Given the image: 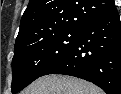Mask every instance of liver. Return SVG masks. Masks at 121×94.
<instances>
[{"mask_svg":"<svg viewBox=\"0 0 121 94\" xmlns=\"http://www.w3.org/2000/svg\"><path fill=\"white\" fill-rule=\"evenodd\" d=\"M21 94H104V92L94 84L79 78L47 75L38 78Z\"/></svg>","mask_w":121,"mask_h":94,"instance_id":"liver-1","label":"liver"}]
</instances>
